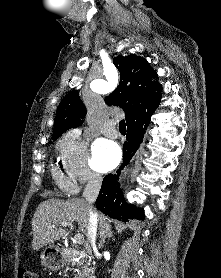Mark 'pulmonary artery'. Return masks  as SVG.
I'll return each mask as SVG.
<instances>
[{
    "label": "pulmonary artery",
    "instance_id": "e3ab8cb5",
    "mask_svg": "<svg viewBox=\"0 0 221 278\" xmlns=\"http://www.w3.org/2000/svg\"><path fill=\"white\" fill-rule=\"evenodd\" d=\"M104 133L111 137V138H117L119 135V131L116 128L115 122L110 121L104 128Z\"/></svg>",
    "mask_w": 221,
    "mask_h": 278
}]
</instances>
